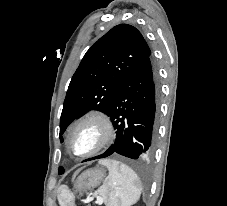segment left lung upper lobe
Listing matches in <instances>:
<instances>
[{"label": "left lung upper lobe", "instance_id": "left-lung-upper-lobe-1", "mask_svg": "<svg viewBox=\"0 0 227 206\" xmlns=\"http://www.w3.org/2000/svg\"><path fill=\"white\" fill-rule=\"evenodd\" d=\"M151 51L133 26L119 24L95 42L84 55L68 87L60 119V140L77 117L95 109L109 114L125 80L147 59ZM63 168L59 173H63Z\"/></svg>", "mask_w": 227, "mask_h": 206}]
</instances>
